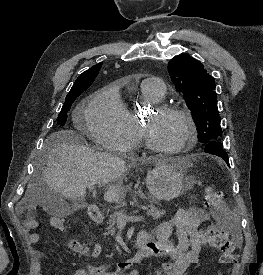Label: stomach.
<instances>
[{
  "mask_svg": "<svg viewBox=\"0 0 263 275\" xmlns=\"http://www.w3.org/2000/svg\"><path fill=\"white\" fill-rule=\"evenodd\" d=\"M146 185L154 199L168 201L186 189L184 167L170 163H158L147 173Z\"/></svg>",
  "mask_w": 263,
  "mask_h": 275,
  "instance_id": "obj_1",
  "label": "stomach"
}]
</instances>
